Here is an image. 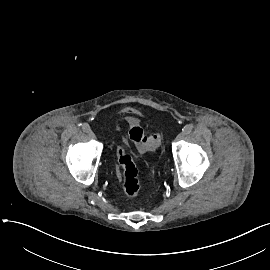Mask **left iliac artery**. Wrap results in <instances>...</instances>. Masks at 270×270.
<instances>
[{
  "label": "left iliac artery",
  "mask_w": 270,
  "mask_h": 270,
  "mask_svg": "<svg viewBox=\"0 0 270 270\" xmlns=\"http://www.w3.org/2000/svg\"><path fill=\"white\" fill-rule=\"evenodd\" d=\"M193 129V126L191 124H187L184 126V128L182 129V131L185 133V134H189Z\"/></svg>",
  "instance_id": "left-iliac-artery-1"
}]
</instances>
